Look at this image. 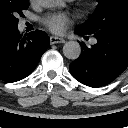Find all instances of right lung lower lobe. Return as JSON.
I'll use <instances>...</instances> for the list:
<instances>
[{
  "instance_id": "1",
  "label": "right lung lower lobe",
  "mask_w": 128,
  "mask_h": 128,
  "mask_svg": "<svg viewBox=\"0 0 128 128\" xmlns=\"http://www.w3.org/2000/svg\"><path fill=\"white\" fill-rule=\"evenodd\" d=\"M49 47L48 35L40 30L22 37L19 30L0 31V79L8 83L30 75Z\"/></svg>"
}]
</instances>
